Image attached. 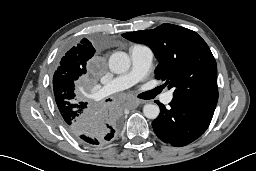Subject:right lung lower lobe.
<instances>
[{"mask_svg":"<svg viewBox=\"0 0 256 171\" xmlns=\"http://www.w3.org/2000/svg\"><path fill=\"white\" fill-rule=\"evenodd\" d=\"M74 106V114L78 113L80 120L73 127H66L78 141L88 146H102L115 138L122 122L116 106L92 102Z\"/></svg>","mask_w":256,"mask_h":171,"instance_id":"right-lung-lower-lobe-1","label":"right lung lower lobe"}]
</instances>
